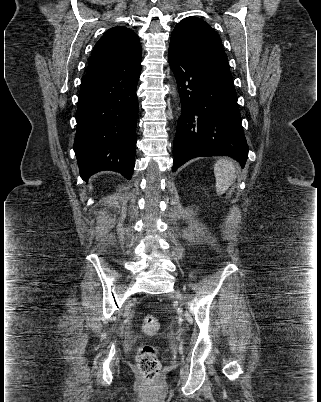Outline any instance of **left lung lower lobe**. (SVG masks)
Here are the masks:
<instances>
[{
    "label": "left lung lower lobe",
    "mask_w": 321,
    "mask_h": 402,
    "mask_svg": "<svg viewBox=\"0 0 321 402\" xmlns=\"http://www.w3.org/2000/svg\"><path fill=\"white\" fill-rule=\"evenodd\" d=\"M181 101L172 171L198 156L226 155L242 166L248 145L229 68L196 61L169 47Z\"/></svg>",
    "instance_id": "0a47b994"
}]
</instances>
